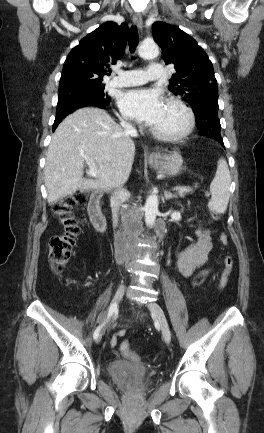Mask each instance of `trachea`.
<instances>
[{"label":"trachea","mask_w":264,"mask_h":433,"mask_svg":"<svg viewBox=\"0 0 264 433\" xmlns=\"http://www.w3.org/2000/svg\"><path fill=\"white\" fill-rule=\"evenodd\" d=\"M129 40V50L131 53H134L138 44V30L136 26H132L129 30L128 35Z\"/></svg>","instance_id":"trachea-1"}]
</instances>
